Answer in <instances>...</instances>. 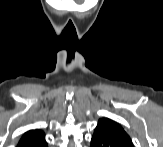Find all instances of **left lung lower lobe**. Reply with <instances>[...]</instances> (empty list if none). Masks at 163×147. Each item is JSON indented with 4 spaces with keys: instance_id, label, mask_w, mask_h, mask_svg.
Here are the masks:
<instances>
[{
    "instance_id": "left-lung-lower-lobe-1",
    "label": "left lung lower lobe",
    "mask_w": 163,
    "mask_h": 147,
    "mask_svg": "<svg viewBox=\"0 0 163 147\" xmlns=\"http://www.w3.org/2000/svg\"><path fill=\"white\" fill-rule=\"evenodd\" d=\"M91 147H133L130 137L125 132L95 129Z\"/></svg>"
}]
</instances>
